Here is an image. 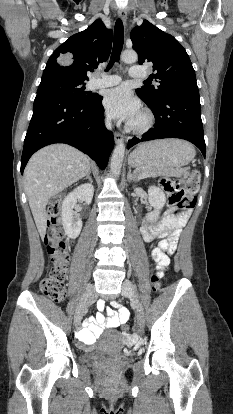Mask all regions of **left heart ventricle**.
Segmentation results:
<instances>
[{"instance_id": "1", "label": "left heart ventricle", "mask_w": 233, "mask_h": 414, "mask_svg": "<svg viewBox=\"0 0 233 414\" xmlns=\"http://www.w3.org/2000/svg\"><path fill=\"white\" fill-rule=\"evenodd\" d=\"M140 120V116L135 120V122H137V121H139Z\"/></svg>"}]
</instances>
